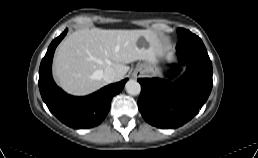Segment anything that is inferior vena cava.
Instances as JSON below:
<instances>
[{"label": "inferior vena cava", "mask_w": 258, "mask_h": 158, "mask_svg": "<svg viewBox=\"0 0 258 158\" xmlns=\"http://www.w3.org/2000/svg\"><path fill=\"white\" fill-rule=\"evenodd\" d=\"M116 76H117V74H116V72H115V70L113 68H111V67L105 68V70L103 72V79L107 83L115 81Z\"/></svg>", "instance_id": "inferior-vena-cava-1"}]
</instances>
